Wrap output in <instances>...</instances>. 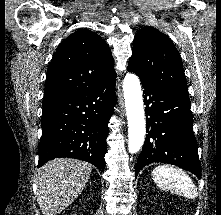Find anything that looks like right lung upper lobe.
<instances>
[{
	"label": "right lung upper lobe",
	"mask_w": 221,
	"mask_h": 215,
	"mask_svg": "<svg viewBox=\"0 0 221 215\" xmlns=\"http://www.w3.org/2000/svg\"><path fill=\"white\" fill-rule=\"evenodd\" d=\"M107 43L95 32L79 29L57 48L47 71L43 108L66 101L116 77Z\"/></svg>",
	"instance_id": "cb5924a9"
}]
</instances>
